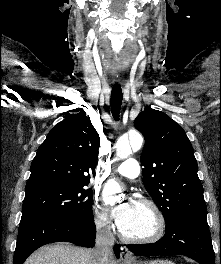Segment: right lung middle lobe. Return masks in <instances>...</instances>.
<instances>
[{
	"instance_id": "1",
	"label": "right lung middle lobe",
	"mask_w": 221,
	"mask_h": 264,
	"mask_svg": "<svg viewBox=\"0 0 221 264\" xmlns=\"http://www.w3.org/2000/svg\"><path fill=\"white\" fill-rule=\"evenodd\" d=\"M21 221L84 220L93 216L91 189L53 183L26 189Z\"/></svg>"
}]
</instances>
